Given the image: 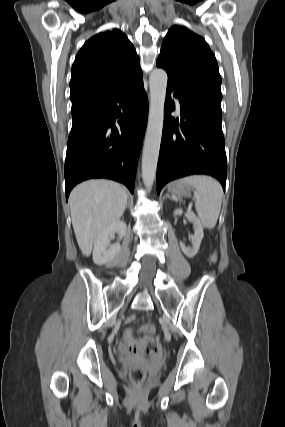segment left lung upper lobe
<instances>
[{
	"label": "left lung upper lobe",
	"instance_id": "5c2ea615",
	"mask_svg": "<svg viewBox=\"0 0 285 427\" xmlns=\"http://www.w3.org/2000/svg\"><path fill=\"white\" fill-rule=\"evenodd\" d=\"M157 66L172 83L191 96L221 107V77L216 58L199 35L173 26L163 40Z\"/></svg>",
	"mask_w": 285,
	"mask_h": 427
}]
</instances>
